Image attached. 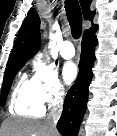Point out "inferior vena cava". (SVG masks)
<instances>
[{
	"mask_svg": "<svg viewBox=\"0 0 117 136\" xmlns=\"http://www.w3.org/2000/svg\"><path fill=\"white\" fill-rule=\"evenodd\" d=\"M64 95V91H61L60 96L58 98L57 104L52 107L50 113L48 114V117L45 121L48 129L50 132L56 131V123L58 119L60 118L61 112H62V104L63 100L62 97Z\"/></svg>",
	"mask_w": 117,
	"mask_h": 136,
	"instance_id": "602c4592",
	"label": "inferior vena cava"
}]
</instances>
